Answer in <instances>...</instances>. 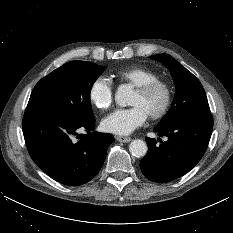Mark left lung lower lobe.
I'll use <instances>...</instances> for the list:
<instances>
[{
    "label": "left lung lower lobe",
    "mask_w": 233,
    "mask_h": 233,
    "mask_svg": "<svg viewBox=\"0 0 233 233\" xmlns=\"http://www.w3.org/2000/svg\"><path fill=\"white\" fill-rule=\"evenodd\" d=\"M213 129L211 114H192L167 127L154 128L168 140L158 144L146 137L148 152L140 162L142 173L157 183L170 182L190 171L202 158ZM159 142L160 139H158Z\"/></svg>",
    "instance_id": "0a47b994"
}]
</instances>
